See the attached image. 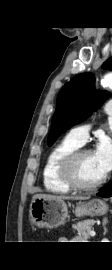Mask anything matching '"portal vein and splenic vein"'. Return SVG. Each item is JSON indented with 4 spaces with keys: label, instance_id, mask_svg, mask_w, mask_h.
I'll return each mask as SVG.
<instances>
[{
    "label": "portal vein and splenic vein",
    "instance_id": "18ae733b",
    "mask_svg": "<svg viewBox=\"0 0 112 270\" xmlns=\"http://www.w3.org/2000/svg\"><path fill=\"white\" fill-rule=\"evenodd\" d=\"M89 234H90L91 237H94L96 235L95 231H90Z\"/></svg>",
    "mask_w": 112,
    "mask_h": 270
}]
</instances>
